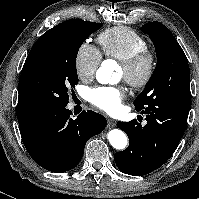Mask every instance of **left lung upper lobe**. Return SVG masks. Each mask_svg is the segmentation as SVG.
I'll list each match as a JSON object with an SVG mask.
<instances>
[{"mask_svg": "<svg viewBox=\"0 0 199 199\" xmlns=\"http://www.w3.org/2000/svg\"><path fill=\"white\" fill-rule=\"evenodd\" d=\"M156 50L157 65L145 89L134 101L136 111L147 113L159 104H174L190 108V70L181 46L160 22L142 26Z\"/></svg>", "mask_w": 199, "mask_h": 199, "instance_id": "5c2ea615", "label": "left lung upper lobe"}]
</instances>
